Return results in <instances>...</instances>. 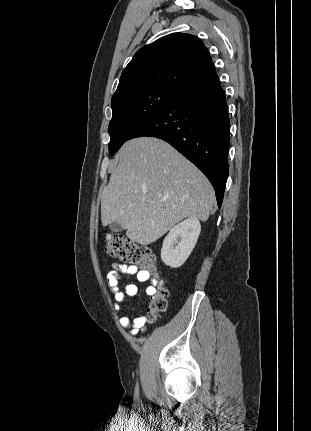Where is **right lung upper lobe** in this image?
<instances>
[{"label":"right lung upper lobe","instance_id":"obj_1","mask_svg":"<svg viewBox=\"0 0 311 431\" xmlns=\"http://www.w3.org/2000/svg\"><path fill=\"white\" fill-rule=\"evenodd\" d=\"M210 54L196 36L173 33L138 50L113 97L140 89L182 94L217 79Z\"/></svg>","mask_w":311,"mask_h":431}]
</instances>
